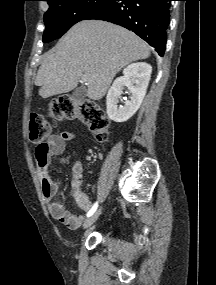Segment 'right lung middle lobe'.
<instances>
[{
    "instance_id": "obj_1",
    "label": "right lung middle lobe",
    "mask_w": 216,
    "mask_h": 285,
    "mask_svg": "<svg viewBox=\"0 0 216 285\" xmlns=\"http://www.w3.org/2000/svg\"><path fill=\"white\" fill-rule=\"evenodd\" d=\"M110 0H51L49 9L44 14L46 29L43 42L60 38L77 22L102 7Z\"/></svg>"
}]
</instances>
